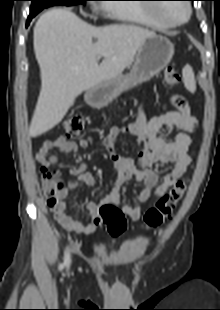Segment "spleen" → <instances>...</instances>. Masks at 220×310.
<instances>
[{
    "instance_id": "spleen-1",
    "label": "spleen",
    "mask_w": 220,
    "mask_h": 310,
    "mask_svg": "<svg viewBox=\"0 0 220 310\" xmlns=\"http://www.w3.org/2000/svg\"><path fill=\"white\" fill-rule=\"evenodd\" d=\"M183 80L185 87L192 93L196 90V82L192 68L186 65L183 69Z\"/></svg>"
}]
</instances>
